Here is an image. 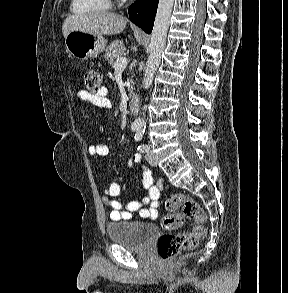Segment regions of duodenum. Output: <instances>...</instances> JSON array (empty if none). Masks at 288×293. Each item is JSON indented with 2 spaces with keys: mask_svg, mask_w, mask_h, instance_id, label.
<instances>
[{
  "mask_svg": "<svg viewBox=\"0 0 288 293\" xmlns=\"http://www.w3.org/2000/svg\"><path fill=\"white\" fill-rule=\"evenodd\" d=\"M128 105H129V109L132 112H134V113L137 112L138 109H139V98H138V96H136V95L131 96L130 99H129Z\"/></svg>",
  "mask_w": 288,
  "mask_h": 293,
  "instance_id": "1",
  "label": "duodenum"
}]
</instances>
